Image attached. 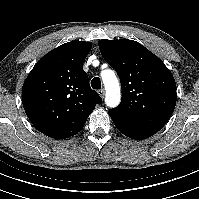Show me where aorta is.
I'll list each match as a JSON object with an SVG mask.
<instances>
[{
  "label": "aorta",
  "mask_w": 199,
  "mask_h": 199,
  "mask_svg": "<svg viewBox=\"0 0 199 199\" xmlns=\"http://www.w3.org/2000/svg\"><path fill=\"white\" fill-rule=\"evenodd\" d=\"M101 77L106 90L105 103L108 107L114 108L118 106L121 101L119 81L115 72L110 69L102 71Z\"/></svg>",
  "instance_id": "1"
}]
</instances>
